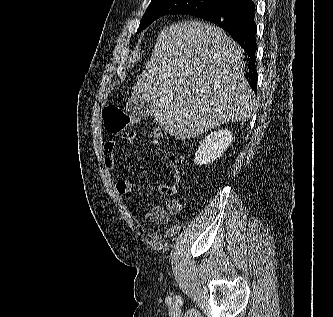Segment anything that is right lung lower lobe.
<instances>
[{
	"label": "right lung lower lobe",
	"mask_w": 333,
	"mask_h": 317,
	"mask_svg": "<svg viewBox=\"0 0 333 317\" xmlns=\"http://www.w3.org/2000/svg\"><path fill=\"white\" fill-rule=\"evenodd\" d=\"M195 15L227 31L245 50L249 63L247 78L251 88L257 92L255 5L252 0H238L233 3H225L213 10L200 12Z\"/></svg>",
	"instance_id": "right-lung-lower-lobe-1"
}]
</instances>
